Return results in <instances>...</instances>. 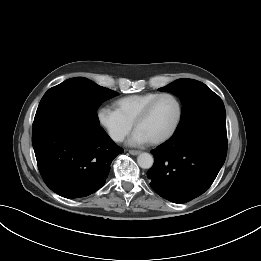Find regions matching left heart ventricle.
Listing matches in <instances>:
<instances>
[{
  "label": "left heart ventricle",
  "mask_w": 261,
  "mask_h": 261,
  "mask_svg": "<svg viewBox=\"0 0 261 261\" xmlns=\"http://www.w3.org/2000/svg\"><path fill=\"white\" fill-rule=\"evenodd\" d=\"M177 115V105L169 97L161 98L153 107L149 116L136 130L141 131L150 141L166 134L172 127Z\"/></svg>",
  "instance_id": "1"
}]
</instances>
